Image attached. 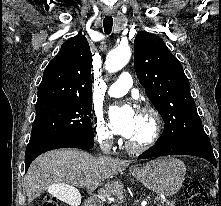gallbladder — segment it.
Segmentation results:
<instances>
[{
	"label": "gallbladder",
	"instance_id": "1",
	"mask_svg": "<svg viewBox=\"0 0 221 206\" xmlns=\"http://www.w3.org/2000/svg\"><path fill=\"white\" fill-rule=\"evenodd\" d=\"M51 194L53 198H58L59 202H65V205L82 206V193H77L73 185H51Z\"/></svg>",
	"mask_w": 221,
	"mask_h": 206
}]
</instances>
